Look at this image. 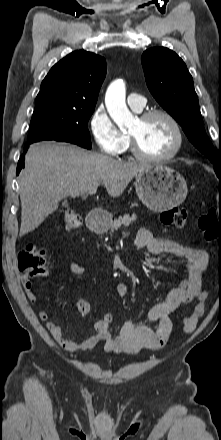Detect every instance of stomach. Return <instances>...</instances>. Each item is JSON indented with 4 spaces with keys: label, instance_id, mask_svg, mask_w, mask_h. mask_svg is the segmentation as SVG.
<instances>
[{
    "label": "stomach",
    "instance_id": "obj_1",
    "mask_svg": "<svg viewBox=\"0 0 221 440\" xmlns=\"http://www.w3.org/2000/svg\"><path fill=\"white\" fill-rule=\"evenodd\" d=\"M139 199L152 211L163 212L180 205L188 188L184 177L162 164L150 165L135 176Z\"/></svg>",
    "mask_w": 221,
    "mask_h": 440
}]
</instances>
